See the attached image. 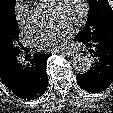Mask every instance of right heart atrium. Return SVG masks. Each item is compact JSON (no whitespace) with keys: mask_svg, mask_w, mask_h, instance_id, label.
<instances>
[{"mask_svg":"<svg viewBox=\"0 0 113 113\" xmlns=\"http://www.w3.org/2000/svg\"><path fill=\"white\" fill-rule=\"evenodd\" d=\"M13 13L18 28L22 32H29L33 27V23L27 3L24 0H17Z\"/></svg>","mask_w":113,"mask_h":113,"instance_id":"right-heart-atrium-1","label":"right heart atrium"}]
</instances>
